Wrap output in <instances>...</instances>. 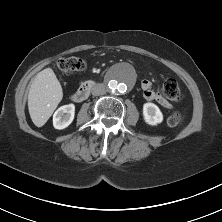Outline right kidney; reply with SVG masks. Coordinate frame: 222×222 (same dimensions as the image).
Segmentation results:
<instances>
[{
    "instance_id": "ca27d5eb",
    "label": "right kidney",
    "mask_w": 222,
    "mask_h": 222,
    "mask_svg": "<svg viewBox=\"0 0 222 222\" xmlns=\"http://www.w3.org/2000/svg\"><path fill=\"white\" fill-rule=\"evenodd\" d=\"M75 115L74 104H68L58 108L53 115V126L55 129H64L68 127Z\"/></svg>"
}]
</instances>
